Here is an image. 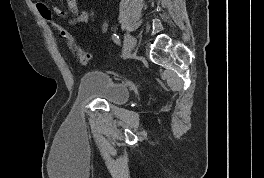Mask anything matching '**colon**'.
I'll use <instances>...</instances> for the list:
<instances>
[{"label": "colon", "instance_id": "1", "mask_svg": "<svg viewBox=\"0 0 264 178\" xmlns=\"http://www.w3.org/2000/svg\"><path fill=\"white\" fill-rule=\"evenodd\" d=\"M35 5L37 8V11L39 12L40 16L59 34L61 37L67 40L68 46L70 50L72 51L73 55L75 56L76 60L81 64V65H87L91 59H92V54L84 51L81 49L76 43L73 41L70 33L66 30V28L54 18L53 12L50 10L48 5L41 1H35Z\"/></svg>", "mask_w": 264, "mask_h": 178}]
</instances>
